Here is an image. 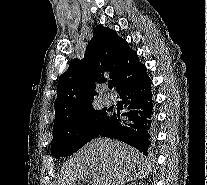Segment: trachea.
<instances>
[{"mask_svg": "<svg viewBox=\"0 0 207 185\" xmlns=\"http://www.w3.org/2000/svg\"><path fill=\"white\" fill-rule=\"evenodd\" d=\"M109 88H113L114 87V83H109Z\"/></svg>", "mask_w": 207, "mask_h": 185, "instance_id": "obj_1", "label": "trachea"}]
</instances>
